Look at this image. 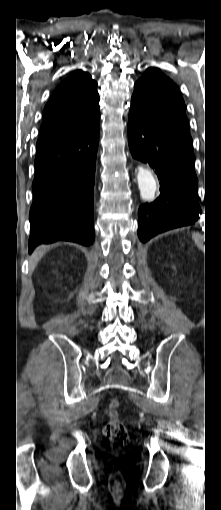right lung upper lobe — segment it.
I'll return each instance as SVG.
<instances>
[{
	"label": "right lung upper lobe",
	"instance_id": "cb5924a9",
	"mask_svg": "<svg viewBox=\"0 0 221 510\" xmlns=\"http://www.w3.org/2000/svg\"><path fill=\"white\" fill-rule=\"evenodd\" d=\"M97 83L76 70L55 89L44 108L37 145L63 139L90 127L100 118Z\"/></svg>",
	"mask_w": 221,
	"mask_h": 510
}]
</instances>
